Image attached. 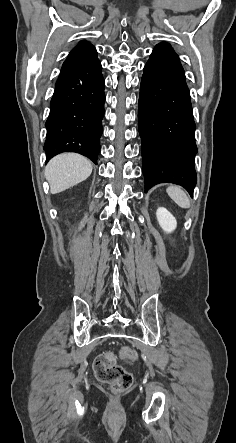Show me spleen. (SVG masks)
Returning <instances> with one entry per match:
<instances>
[{
	"mask_svg": "<svg viewBox=\"0 0 236 443\" xmlns=\"http://www.w3.org/2000/svg\"><path fill=\"white\" fill-rule=\"evenodd\" d=\"M169 197L181 208H189L190 200L187 194L178 186L171 185L167 189Z\"/></svg>",
	"mask_w": 236,
	"mask_h": 443,
	"instance_id": "spleen-1",
	"label": "spleen"
}]
</instances>
